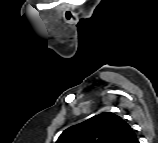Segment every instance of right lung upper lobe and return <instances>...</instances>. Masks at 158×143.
Masks as SVG:
<instances>
[{"label": "right lung upper lobe", "mask_w": 158, "mask_h": 143, "mask_svg": "<svg viewBox=\"0 0 158 143\" xmlns=\"http://www.w3.org/2000/svg\"><path fill=\"white\" fill-rule=\"evenodd\" d=\"M56 143H138V139L120 116L104 112L69 127Z\"/></svg>", "instance_id": "1"}]
</instances>
